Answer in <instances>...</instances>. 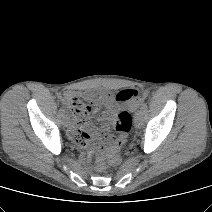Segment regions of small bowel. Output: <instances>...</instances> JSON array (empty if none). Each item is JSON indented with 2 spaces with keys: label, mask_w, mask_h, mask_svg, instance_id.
<instances>
[{
  "label": "small bowel",
  "mask_w": 212,
  "mask_h": 212,
  "mask_svg": "<svg viewBox=\"0 0 212 212\" xmlns=\"http://www.w3.org/2000/svg\"><path fill=\"white\" fill-rule=\"evenodd\" d=\"M77 96L90 103L93 109L88 107L89 110L85 115L74 117L69 136L82 147L91 151H101L110 141L107 135L108 123L115 119L119 107L105 92L83 91L77 93ZM91 111L97 113L99 120L104 123L100 129L89 121Z\"/></svg>",
  "instance_id": "obj_1"
}]
</instances>
